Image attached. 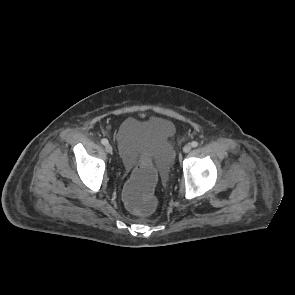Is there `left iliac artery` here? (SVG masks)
Returning a JSON list of instances; mask_svg holds the SVG:
<instances>
[{
	"label": "left iliac artery",
	"mask_w": 295,
	"mask_h": 295,
	"mask_svg": "<svg viewBox=\"0 0 295 295\" xmlns=\"http://www.w3.org/2000/svg\"><path fill=\"white\" fill-rule=\"evenodd\" d=\"M191 146L194 147V148L197 147V146H198V142H197V141H193V142L191 143Z\"/></svg>",
	"instance_id": "44dca946"
}]
</instances>
